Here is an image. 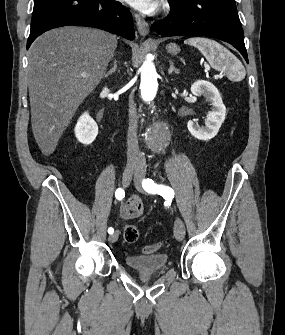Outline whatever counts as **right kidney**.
I'll use <instances>...</instances> for the list:
<instances>
[{"label":"right kidney","mask_w":285,"mask_h":335,"mask_svg":"<svg viewBox=\"0 0 285 335\" xmlns=\"http://www.w3.org/2000/svg\"><path fill=\"white\" fill-rule=\"evenodd\" d=\"M74 132L78 142L88 146V144H92V142H94L98 134V126L95 120H93L87 112H84V114L80 116Z\"/></svg>","instance_id":"right-kidney-1"}]
</instances>
